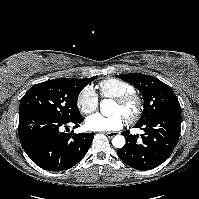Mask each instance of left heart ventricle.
<instances>
[{
  "mask_svg": "<svg viewBox=\"0 0 199 199\" xmlns=\"http://www.w3.org/2000/svg\"><path fill=\"white\" fill-rule=\"evenodd\" d=\"M113 113H121L125 116V109L122 108L119 104H117L116 102L113 105V109H112Z\"/></svg>",
  "mask_w": 199,
  "mask_h": 199,
  "instance_id": "b2bd125f",
  "label": "left heart ventricle"
}]
</instances>
